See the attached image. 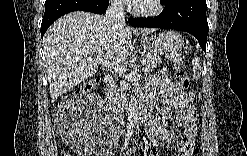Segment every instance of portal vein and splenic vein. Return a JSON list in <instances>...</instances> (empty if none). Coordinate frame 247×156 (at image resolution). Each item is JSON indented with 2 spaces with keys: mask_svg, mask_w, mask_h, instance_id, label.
<instances>
[{
  "mask_svg": "<svg viewBox=\"0 0 247 156\" xmlns=\"http://www.w3.org/2000/svg\"><path fill=\"white\" fill-rule=\"evenodd\" d=\"M88 60H89V61H94L95 59L92 58V57H89ZM141 62H142V64H144V63L146 62V60L143 59ZM101 65L104 66V67H110L109 64H108L107 62H102ZM114 69H115L116 71H119V72H125V69H124L123 67H121V66H118V65L115 66Z\"/></svg>",
  "mask_w": 247,
  "mask_h": 156,
  "instance_id": "portal-vein-and-splenic-vein-1",
  "label": "portal vein and splenic vein"
}]
</instances>
